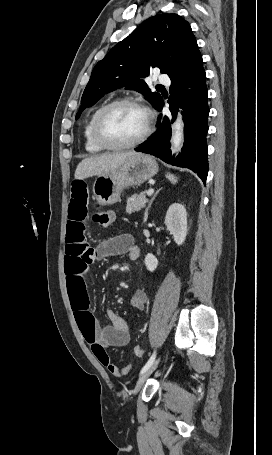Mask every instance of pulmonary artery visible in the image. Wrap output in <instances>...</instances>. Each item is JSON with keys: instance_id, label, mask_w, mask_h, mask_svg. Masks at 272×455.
I'll use <instances>...</instances> for the list:
<instances>
[{"instance_id": "pulmonary-artery-1", "label": "pulmonary artery", "mask_w": 272, "mask_h": 455, "mask_svg": "<svg viewBox=\"0 0 272 455\" xmlns=\"http://www.w3.org/2000/svg\"><path fill=\"white\" fill-rule=\"evenodd\" d=\"M157 81L161 84L168 85L170 83V78L166 74H159L157 76Z\"/></svg>"}]
</instances>
